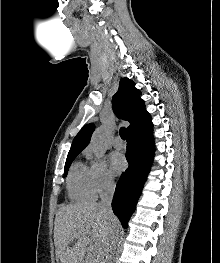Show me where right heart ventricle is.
I'll list each match as a JSON object with an SVG mask.
<instances>
[{"label":"right heart ventricle","mask_w":220,"mask_h":263,"mask_svg":"<svg viewBox=\"0 0 220 263\" xmlns=\"http://www.w3.org/2000/svg\"><path fill=\"white\" fill-rule=\"evenodd\" d=\"M67 190L71 200L78 202L92 201L96 191L92 181L90 167L80 161L75 162L67 178Z\"/></svg>","instance_id":"e07e8e85"}]
</instances>
